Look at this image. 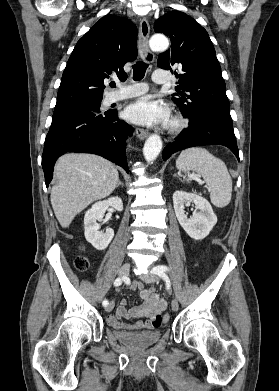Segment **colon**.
<instances>
[{
  "label": "colon",
  "instance_id": "colon-1",
  "mask_svg": "<svg viewBox=\"0 0 279 391\" xmlns=\"http://www.w3.org/2000/svg\"><path fill=\"white\" fill-rule=\"evenodd\" d=\"M74 265L77 270L79 271H86L89 268V261L84 256H78L75 258ZM170 316L168 314H165L163 316V321L167 322L169 320Z\"/></svg>",
  "mask_w": 279,
  "mask_h": 391
}]
</instances>
